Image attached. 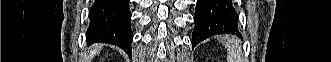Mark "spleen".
<instances>
[{"label":"spleen","mask_w":331,"mask_h":62,"mask_svg":"<svg viewBox=\"0 0 331 62\" xmlns=\"http://www.w3.org/2000/svg\"><path fill=\"white\" fill-rule=\"evenodd\" d=\"M228 62H242V49L237 38L229 37L227 39Z\"/></svg>","instance_id":"1"}]
</instances>
